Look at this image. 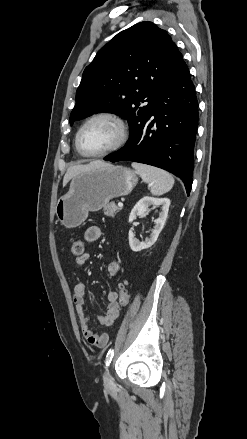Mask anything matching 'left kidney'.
Here are the masks:
<instances>
[{
	"instance_id": "1",
	"label": "left kidney",
	"mask_w": 247,
	"mask_h": 439,
	"mask_svg": "<svg viewBox=\"0 0 247 439\" xmlns=\"http://www.w3.org/2000/svg\"><path fill=\"white\" fill-rule=\"evenodd\" d=\"M162 206V211L159 213V217L154 221L155 226L152 230L151 235L145 239V241L140 242L134 235L132 230H129V245L132 251L138 252L143 249L151 247L157 240L160 232L162 231L169 211L170 200L168 198H154L150 196H145L140 199L137 204L132 209L129 216V223H132L137 216L144 215L148 211V207Z\"/></svg>"
}]
</instances>
